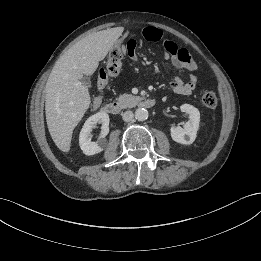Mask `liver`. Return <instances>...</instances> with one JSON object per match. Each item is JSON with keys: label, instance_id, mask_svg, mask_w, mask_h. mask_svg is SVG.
I'll return each mask as SVG.
<instances>
[{"label": "liver", "instance_id": "6515ba94", "mask_svg": "<svg viewBox=\"0 0 261 261\" xmlns=\"http://www.w3.org/2000/svg\"><path fill=\"white\" fill-rule=\"evenodd\" d=\"M124 28L91 34L68 49L56 62L45 86V113L49 133L63 152L70 150L72 133L89 108L91 98L84 75H92Z\"/></svg>", "mask_w": 261, "mask_h": 261}]
</instances>
